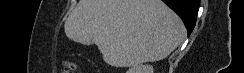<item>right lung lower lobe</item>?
I'll return each mask as SVG.
<instances>
[{"label":"right lung lower lobe","mask_w":244,"mask_h":73,"mask_svg":"<svg viewBox=\"0 0 244 73\" xmlns=\"http://www.w3.org/2000/svg\"><path fill=\"white\" fill-rule=\"evenodd\" d=\"M183 20L188 35L193 31L198 14L200 0H162Z\"/></svg>","instance_id":"1"}]
</instances>
